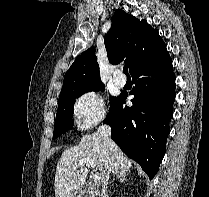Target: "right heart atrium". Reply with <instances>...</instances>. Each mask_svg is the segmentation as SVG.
Here are the masks:
<instances>
[{
  "label": "right heart atrium",
  "instance_id": "d8ad5b80",
  "mask_svg": "<svg viewBox=\"0 0 209 197\" xmlns=\"http://www.w3.org/2000/svg\"><path fill=\"white\" fill-rule=\"evenodd\" d=\"M73 114L81 129H88L100 122L105 116V101L101 93L88 91L75 102Z\"/></svg>",
  "mask_w": 209,
  "mask_h": 197
}]
</instances>
